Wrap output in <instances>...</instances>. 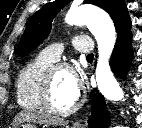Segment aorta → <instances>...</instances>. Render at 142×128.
<instances>
[{
  "label": "aorta",
  "instance_id": "obj_1",
  "mask_svg": "<svg viewBox=\"0 0 142 128\" xmlns=\"http://www.w3.org/2000/svg\"><path fill=\"white\" fill-rule=\"evenodd\" d=\"M65 21L70 25H86L94 35L99 55L95 71L98 89L108 100L114 102L123 100L124 92L109 65L116 43V30L109 15L93 7L80 6L70 9Z\"/></svg>",
  "mask_w": 142,
  "mask_h": 128
}]
</instances>
